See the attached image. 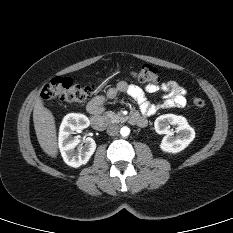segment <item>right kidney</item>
I'll list each match as a JSON object with an SVG mask.
<instances>
[{
	"mask_svg": "<svg viewBox=\"0 0 233 233\" xmlns=\"http://www.w3.org/2000/svg\"><path fill=\"white\" fill-rule=\"evenodd\" d=\"M90 124L89 119L83 114L70 113L63 118L59 129L58 144L65 163L71 167L78 168L86 164L96 149L95 141L88 137L83 143L77 136L73 137L75 131H81ZM77 147V151L75 148Z\"/></svg>",
	"mask_w": 233,
	"mask_h": 233,
	"instance_id": "ca27d5eb",
	"label": "right kidney"
}]
</instances>
